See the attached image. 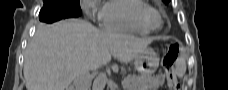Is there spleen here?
I'll list each match as a JSON object with an SVG mask.
<instances>
[{
    "label": "spleen",
    "mask_w": 228,
    "mask_h": 90,
    "mask_svg": "<svg viewBox=\"0 0 228 90\" xmlns=\"http://www.w3.org/2000/svg\"><path fill=\"white\" fill-rule=\"evenodd\" d=\"M186 72V61L184 58H178L176 61V74L179 78L183 77Z\"/></svg>",
    "instance_id": "1"
}]
</instances>
